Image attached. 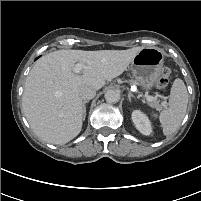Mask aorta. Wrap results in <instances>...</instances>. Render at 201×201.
<instances>
[{
    "label": "aorta",
    "mask_w": 201,
    "mask_h": 201,
    "mask_svg": "<svg viewBox=\"0 0 201 201\" xmlns=\"http://www.w3.org/2000/svg\"><path fill=\"white\" fill-rule=\"evenodd\" d=\"M104 97L108 103H117L120 100V94L116 90L106 91Z\"/></svg>",
    "instance_id": "aorta-1"
}]
</instances>
